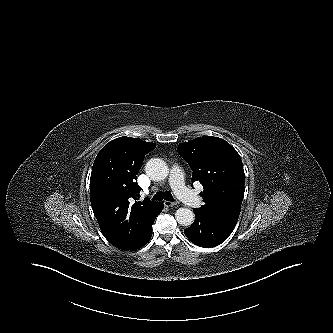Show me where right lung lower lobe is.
<instances>
[{"label": "right lung lower lobe", "mask_w": 333, "mask_h": 333, "mask_svg": "<svg viewBox=\"0 0 333 333\" xmlns=\"http://www.w3.org/2000/svg\"><path fill=\"white\" fill-rule=\"evenodd\" d=\"M162 209H163V204H162L161 211H162ZM152 225H153V223L148 227L147 231L141 237L138 244L135 247H133L132 249H130L131 251H134V250H137V249L141 248L142 246H144L150 240V238L152 236Z\"/></svg>", "instance_id": "1"}]
</instances>
